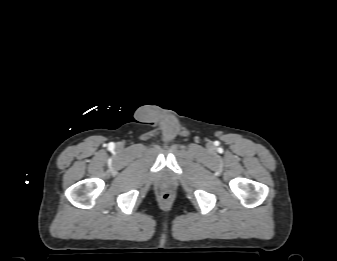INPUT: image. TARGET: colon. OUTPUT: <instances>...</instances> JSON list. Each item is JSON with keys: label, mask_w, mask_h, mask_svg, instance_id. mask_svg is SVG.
<instances>
[{"label": "colon", "mask_w": 337, "mask_h": 261, "mask_svg": "<svg viewBox=\"0 0 337 261\" xmlns=\"http://www.w3.org/2000/svg\"><path fill=\"white\" fill-rule=\"evenodd\" d=\"M161 199L163 200V201H169L170 199H171V193L170 192H168V191H164V192H162V194H161Z\"/></svg>", "instance_id": "1"}]
</instances>
